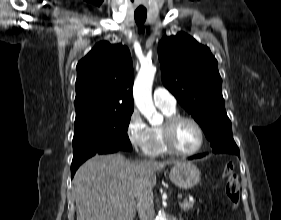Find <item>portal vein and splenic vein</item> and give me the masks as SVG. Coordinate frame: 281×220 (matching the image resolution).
I'll use <instances>...</instances> for the list:
<instances>
[{
	"mask_svg": "<svg viewBox=\"0 0 281 220\" xmlns=\"http://www.w3.org/2000/svg\"><path fill=\"white\" fill-rule=\"evenodd\" d=\"M122 200H124V199H118V201H122Z\"/></svg>",
	"mask_w": 281,
	"mask_h": 220,
	"instance_id": "18ae733b",
	"label": "portal vein and splenic vein"
}]
</instances>
